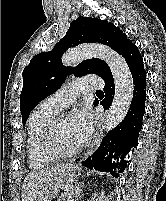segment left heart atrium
I'll list each match as a JSON object with an SVG mask.
<instances>
[{
	"instance_id": "1",
	"label": "left heart atrium",
	"mask_w": 166,
	"mask_h": 201,
	"mask_svg": "<svg viewBox=\"0 0 166 201\" xmlns=\"http://www.w3.org/2000/svg\"><path fill=\"white\" fill-rule=\"evenodd\" d=\"M68 125L78 145H83L88 140L93 127L91 112L86 108L74 110L70 115Z\"/></svg>"
}]
</instances>
